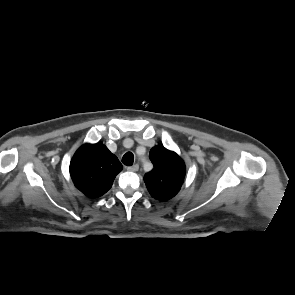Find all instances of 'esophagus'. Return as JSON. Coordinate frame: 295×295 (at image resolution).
Here are the masks:
<instances>
[{
    "label": "esophagus",
    "instance_id": "obj_1",
    "mask_svg": "<svg viewBox=\"0 0 295 295\" xmlns=\"http://www.w3.org/2000/svg\"><path fill=\"white\" fill-rule=\"evenodd\" d=\"M138 169H139V165L138 164H135L133 166L127 167V170L128 171H131V172H136V171H138Z\"/></svg>",
    "mask_w": 295,
    "mask_h": 295
}]
</instances>
